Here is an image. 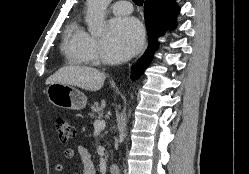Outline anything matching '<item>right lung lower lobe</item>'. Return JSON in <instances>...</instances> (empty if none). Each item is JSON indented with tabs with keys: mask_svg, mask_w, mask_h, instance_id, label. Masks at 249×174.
Segmentation results:
<instances>
[{
	"mask_svg": "<svg viewBox=\"0 0 249 174\" xmlns=\"http://www.w3.org/2000/svg\"><path fill=\"white\" fill-rule=\"evenodd\" d=\"M180 8L174 0H145V22L148 29L149 46L143 57L132 70L133 77H139L153 57L158 46L157 39L165 33L167 28L175 26V16Z\"/></svg>",
	"mask_w": 249,
	"mask_h": 174,
	"instance_id": "obj_1",
	"label": "right lung lower lobe"
}]
</instances>
